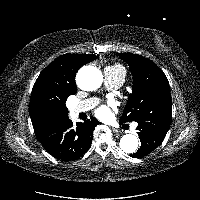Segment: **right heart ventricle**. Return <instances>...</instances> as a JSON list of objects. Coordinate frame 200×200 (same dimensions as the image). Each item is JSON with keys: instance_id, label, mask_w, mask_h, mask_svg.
Listing matches in <instances>:
<instances>
[{"instance_id": "e07e8e85", "label": "right heart ventricle", "mask_w": 200, "mask_h": 200, "mask_svg": "<svg viewBox=\"0 0 200 200\" xmlns=\"http://www.w3.org/2000/svg\"><path fill=\"white\" fill-rule=\"evenodd\" d=\"M105 69H109V70H111L115 73L121 74L123 76H125V74H126V70H125L124 66L119 63L110 65V66L106 67Z\"/></svg>"}]
</instances>
